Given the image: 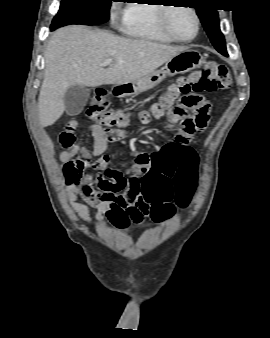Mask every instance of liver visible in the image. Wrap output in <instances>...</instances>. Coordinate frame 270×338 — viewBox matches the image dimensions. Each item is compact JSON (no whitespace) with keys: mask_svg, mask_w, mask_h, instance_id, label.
Masks as SVG:
<instances>
[{"mask_svg":"<svg viewBox=\"0 0 270 338\" xmlns=\"http://www.w3.org/2000/svg\"><path fill=\"white\" fill-rule=\"evenodd\" d=\"M184 50L187 47L126 39L80 25L56 30L45 52L44 80L38 99L41 126H50L62 116L69 87L126 84L155 71ZM109 58L114 62L104 68L102 63Z\"/></svg>","mask_w":270,"mask_h":338,"instance_id":"6515ba94","label":"liver"}]
</instances>
